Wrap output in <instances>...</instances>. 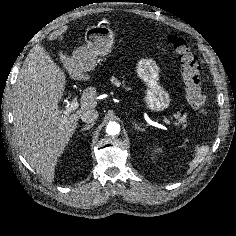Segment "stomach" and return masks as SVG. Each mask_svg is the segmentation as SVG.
<instances>
[{"instance_id": "stomach-1", "label": "stomach", "mask_w": 236, "mask_h": 236, "mask_svg": "<svg viewBox=\"0 0 236 236\" xmlns=\"http://www.w3.org/2000/svg\"><path fill=\"white\" fill-rule=\"evenodd\" d=\"M86 44L73 51L71 60L93 70L98 56H105L111 52L114 44V33L106 26H91L85 32ZM137 76L145 84L144 104L152 112L167 109L172 101L171 96L159 82L160 68L151 58H142L136 65Z\"/></svg>"}]
</instances>
